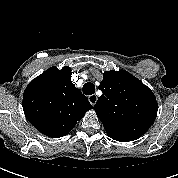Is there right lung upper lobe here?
Masks as SVG:
<instances>
[{
  "label": "right lung upper lobe",
  "mask_w": 178,
  "mask_h": 178,
  "mask_svg": "<svg viewBox=\"0 0 178 178\" xmlns=\"http://www.w3.org/2000/svg\"><path fill=\"white\" fill-rule=\"evenodd\" d=\"M71 68L53 66L32 80L23 95L26 118L52 138L68 134L92 105L71 81Z\"/></svg>",
  "instance_id": "1"
}]
</instances>
